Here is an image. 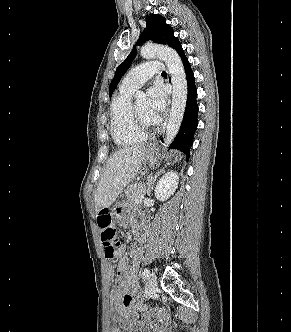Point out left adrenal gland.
Here are the masks:
<instances>
[{
    "instance_id": "1",
    "label": "left adrenal gland",
    "mask_w": 291,
    "mask_h": 332,
    "mask_svg": "<svg viewBox=\"0 0 291 332\" xmlns=\"http://www.w3.org/2000/svg\"><path fill=\"white\" fill-rule=\"evenodd\" d=\"M163 173H164V170H161L158 173H156L154 176H150L148 178V182H147V186H148L147 195L148 196L151 195V191L153 189L154 183L156 182L157 178Z\"/></svg>"
}]
</instances>
